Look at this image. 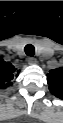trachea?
<instances>
[{
	"label": "trachea",
	"mask_w": 63,
	"mask_h": 123,
	"mask_svg": "<svg viewBox=\"0 0 63 123\" xmlns=\"http://www.w3.org/2000/svg\"><path fill=\"white\" fill-rule=\"evenodd\" d=\"M24 51H25L26 55L29 57H33L35 54V48L32 44H27L24 48Z\"/></svg>",
	"instance_id": "1"
}]
</instances>
